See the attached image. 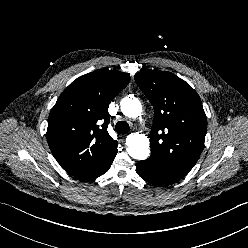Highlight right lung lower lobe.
<instances>
[{"label":"right lung lower lobe","mask_w":248,"mask_h":248,"mask_svg":"<svg viewBox=\"0 0 248 248\" xmlns=\"http://www.w3.org/2000/svg\"><path fill=\"white\" fill-rule=\"evenodd\" d=\"M115 150L110 158V160L106 163V165L99 171L97 172L96 174H94L93 176H91L89 179H86V180H90V179H94V178H97L99 176H101L102 174H104L105 172H107L113 162V159L115 158L116 154H117V142H116V146H115Z\"/></svg>","instance_id":"obj_1"}]
</instances>
